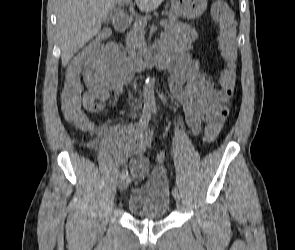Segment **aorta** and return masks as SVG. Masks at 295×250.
<instances>
[{"label": "aorta", "instance_id": "762f6f07", "mask_svg": "<svg viewBox=\"0 0 295 250\" xmlns=\"http://www.w3.org/2000/svg\"><path fill=\"white\" fill-rule=\"evenodd\" d=\"M143 98H144V105L146 107L155 106L154 87H153L152 81H150L149 79L146 80L144 88H143Z\"/></svg>", "mask_w": 295, "mask_h": 250}]
</instances>
